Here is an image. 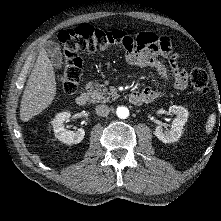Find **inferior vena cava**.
I'll return each mask as SVG.
<instances>
[{"instance_id": "inferior-vena-cava-1", "label": "inferior vena cava", "mask_w": 221, "mask_h": 221, "mask_svg": "<svg viewBox=\"0 0 221 221\" xmlns=\"http://www.w3.org/2000/svg\"><path fill=\"white\" fill-rule=\"evenodd\" d=\"M95 110H96L97 115L103 116V117L107 116L110 112V108L104 104L96 106Z\"/></svg>"}]
</instances>
